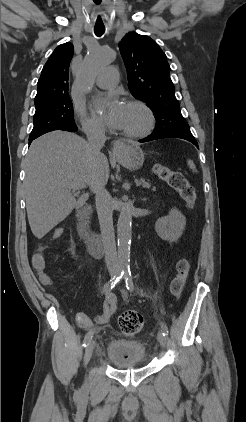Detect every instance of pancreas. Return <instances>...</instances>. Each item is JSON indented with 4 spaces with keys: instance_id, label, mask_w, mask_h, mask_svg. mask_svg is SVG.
Returning <instances> with one entry per match:
<instances>
[{
    "instance_id": "cf45deb5",
    "label": "pancreas",
    "mask_w": 246,
    "mask_h": 422,
    "mask_svg": "<svg viewBox=\"0 0 246 422\" xmlns=\"http://www.w3.org/2000/svg\"><path fill=\"white\" fill-rule=\"evenodd\" d=\"M150 186H151L150 183H147V182L144 181L143 187L149 188Z\"/></svg>"
}]
</instances>
